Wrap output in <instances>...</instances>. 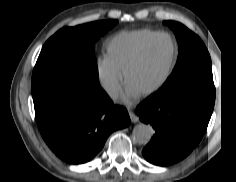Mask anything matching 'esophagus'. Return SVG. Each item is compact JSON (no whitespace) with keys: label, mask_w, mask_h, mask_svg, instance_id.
Returning a JSON list of instances; mask_svg holds the SVG:
<instances>
[{"label":"esophagus","mask_w":236,"mask_h":182,"mask_svg":"<svg viewBox=\"0 0 236 182\" xmlns=\"http://www.w3.org/2000/svg\"><path fill=\"white\" fill-rule=\"evenodd\" d=\"M129 116L132 121H137L138 119L137 116L131 110H129Z\"/></svg>","instance_id":"1"}]
</instances>
